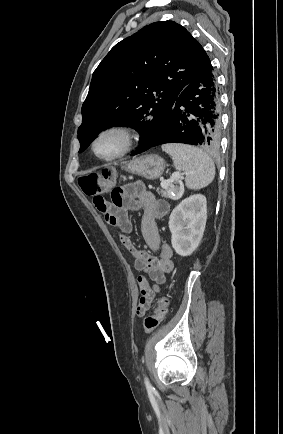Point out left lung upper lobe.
Returning <instances> with one entry per match:
<instances>
[{"instance_id": "obj_1", "label": "left lung upper lobe", "mask_w": 283, "mask_h": 434, "mask_svg": "<svg viewBox=\"0 0 283 434\" xmlns=\"http://www.w3.org/2000/svg\"><path fill=\"white\" fill-rule=\"evenodd\" d=\"M212 67L201 44L174 21L155 22L116 44L93 73L78 128L83 152L110 126L140 134V147L153 143L181 91Z\"/></svg>"}]
</instances>
